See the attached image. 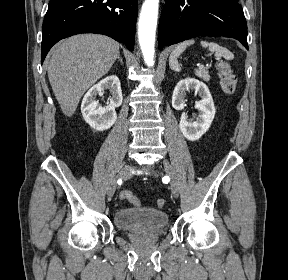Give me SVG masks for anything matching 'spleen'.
Listing matches in <instances>:
<instances>
[{
  "label": "spleen",
  "instance_id": "spleen-1",
  "mask_svg": "<svg viewBox=\"0 0 288 280\" xmlns=\"http://www.w3.org/2000/svg\"><path fill=\"white\" fill-rule=\"evenodd\" d=\"M194 40H187L180 44H178L175 49L172 51L170 57H169V66L172 70L180 72L181 67L178 63V57L181 53L185 51V49L194 44ZM201 46L204 48H208L209 51L214 52L216 57H223L226 60H232L234 58V55L232 52H230L227 48L222 47L214 42H207V41H201Z\"/></svg>",
  "mask_w": 288,
  "mask_h": 280
}]
</instances>
